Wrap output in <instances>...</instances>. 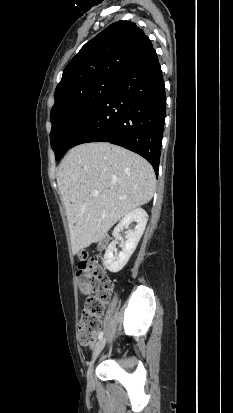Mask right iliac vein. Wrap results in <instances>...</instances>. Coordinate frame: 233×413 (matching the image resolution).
<instances>
[{
  "instance_id": "1",
  "label": "right iliac vein",
  "mask_w": 233,
  "mask_h": 413,
  "mask_svg": "<svg viewBox=\"0 0 233 413\" xmlns=\"http://www.w3.org/2000/svg\"><path fill=\"white\" fill-rule=\"evenodd\" d=\"M105 338L100 339V341L96 344L93 355H92V360L89 364L88 367V371H87V378L89 382L93 381V368H94V362L96 360V358L98 357V355L100 354V352L103 350L104 346H105Z\"/></svg>"
}]
</instances>
